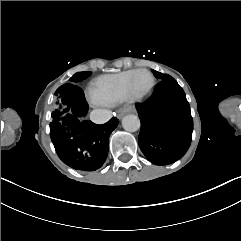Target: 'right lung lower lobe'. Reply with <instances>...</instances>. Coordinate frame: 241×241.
Wrapping results in <instances>:
<instances>
[{
    "label": "right lung lower lobe",
    "mask_w": 241,
    "mask_h": 241,
    "mask_svg": "<svg viewBox=\"0 0 241 241\" xmlns=\"http://www.w3.org/2000/svg\"><path fill=\"white\" fill-rule=\"evenodd\" d=\"M70 112L53 119L50 137L59 158L68 166L83 171H95L108 155V140L119 121L116 117L98 125L82 120L88 111L84 93L76 84L69 85Z\"/></svg>",
    "instance_id": "98d812e1"
}]
</instances>
